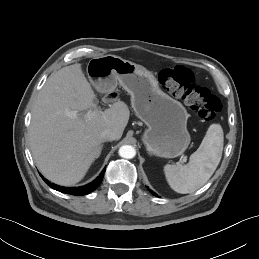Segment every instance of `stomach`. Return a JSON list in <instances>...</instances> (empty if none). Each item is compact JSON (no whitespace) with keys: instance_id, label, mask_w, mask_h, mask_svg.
<instances>
[{"instance_id":"obj_1","label":"stomach","mask_w":259,"mask_h":259,"mask_svg":"<svg viewBox=\"0 0 259 259\" xmlns=\"http://www.w3.org/2000/svg\"><path fill=\"white\" fill-rule=\"evenodd\" d=\"M87 74L100 91H111L120 84L130 94L133 110L148 127L142 141L149 153L174 158L188 148L187 110L160 89L152 72L121 57L105 55L89 61Z\"/></svg>"}]
</instances>
